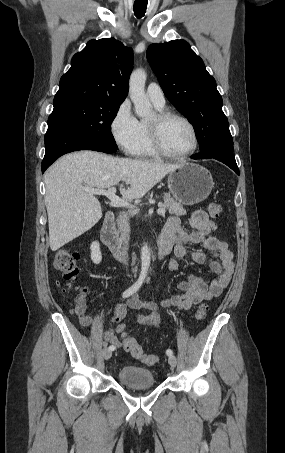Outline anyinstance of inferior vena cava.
I'll return each mask as SVG.
<instances>
[{
  "mask_svg": "<svg viewBox=\"0 0 285 453\" xmlns=\"http://www.w3.org/2000/svg\"><path fill=\"white\" fill-rule=\"evenodd\" d=\"M118 230L120 232V239L123 244L124 257H128L129 239H130V224L127 214L120 213L117 219Z\"/></svg>",
  "mask_w": 285,
  "mask_h": 453,
  "instance_id": "obj_1",
  "label": "inferior vena cava"
}]
</instances>
